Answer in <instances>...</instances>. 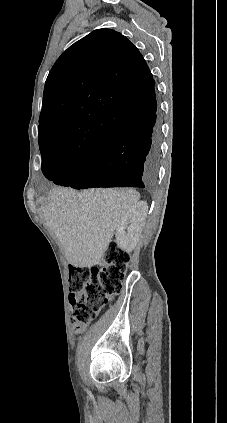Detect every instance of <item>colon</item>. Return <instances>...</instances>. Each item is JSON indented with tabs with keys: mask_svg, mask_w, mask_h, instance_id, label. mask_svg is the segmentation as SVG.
Returning a JSON list of instances; mask_svg holds the SVG:
<instances>
[{
	"mask_svg": "<svg viewBox=\"0 0 227 423\" xmlns=\"http://www.w3.org/2000/svg\"><path fill=\"white\" fill-rule=\"evenodd\" d=\"M129 262L130 255L111 243L99 266L71 269L69 302L75 331L85 329L120 293Z\"/></svg>",
	"mask_w": 227,
	"mask_h": 423,
	"instance_id": "1",
	"label": "colon"
}]
</instances>
